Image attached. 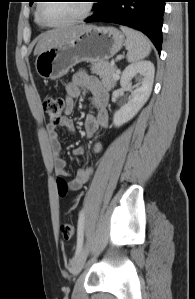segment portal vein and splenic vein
Returning <instances> with one entry per match:
<instances>
[{"label":"portal vein and splenic vein","instance_id":"18ae733b","mask_svg":"<svg viewBox=\"0 0 195 299\" xmlns=\"http://www.w3.org/2000/svg\"><path fill=\"white\" fill-rule=\"evenodd\" d=\"M114 77L117 78V79L119 78V71H117V72L115 73Z\"/></svg>","mask_w":195,"mask_h":299}]
</instances>
